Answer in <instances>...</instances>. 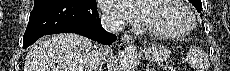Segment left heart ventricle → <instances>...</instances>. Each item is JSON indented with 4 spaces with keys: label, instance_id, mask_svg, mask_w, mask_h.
Instances as JSON below:
<instances>
[{
    "label": "left heart ventricle",
    "instance_id": "1",
    "mask_svg": "<svg viewBox=\"0 0 230 71\" xmlns=\"http://www.w3.org/2000/svg\"><path fill=\"white\" fill-rule=\"evenodd\" d=\"M144 22L161 32H179L188 25L185 11L173 0H145Z\"/></svg>",
    "mask_w": 230,
    "mask_h": 71
}]
</instances>
